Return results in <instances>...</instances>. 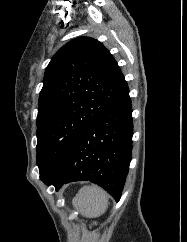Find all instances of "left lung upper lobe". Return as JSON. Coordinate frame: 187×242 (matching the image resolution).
Returning a JSON list of instances; mask_svg holds the SVG:
<instances>
[{
  "mask_svg": "<svg viewBox=\"0 0 187 242\" xmlns=\"http://www.w3.org/2000/svg\"><path fill=\"white\" fill-rule=\"evenodd\" d=\"M43 83L36 122L40 177L54 171L90 125L129 91L109 50L89 37L60 48Z\"/></svg>",
  "mask_w": 187,
  "mask_h": 242,
  "instance_id": "obj_1",
  "label": "left lung upper lobe"
}]
</instances>
